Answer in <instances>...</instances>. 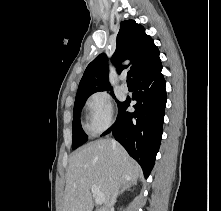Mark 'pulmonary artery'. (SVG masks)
<instances>
[{"instance_id":"pulmonary-artery-1","label":"pulmonary artery","mask_w":221,"mask_h":211,"mask_svg":"<svg viewBox=\"0 0 221 211\" xmlns=\"http://www.w3.org/2000/svg\"><path fill=\"white\" fill-rule=\"evenodd\" d=\"M121 80H122V83H121V90L123 91V92H127L128 91V85H127V83H126V81H125V75H122L121 76Z\"/></svg>"}]
</instances>
